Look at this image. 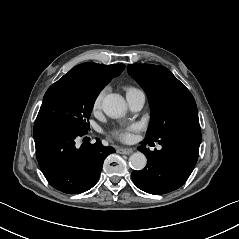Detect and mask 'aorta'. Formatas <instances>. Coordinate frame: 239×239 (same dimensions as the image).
<instances>
[{"mask_svg": "<svg viewBox=\"0 0 239 239\" xmlns=\"http://www.w3.org/2000/svg\"><path fill=\"white\" fill-rule=\"evenodd\" d=\"M104 113L113 119L121 118L126 114L127 104L124 98L119 94H108L102 102ZM130 165L135 170L145 168L147 159L141 152L133 153L129 158Z\"/></svg>", "mask_w": 239, "mask_h": 239, "instance_id": "obj_1", "label": "aorta"}]
</instances>
